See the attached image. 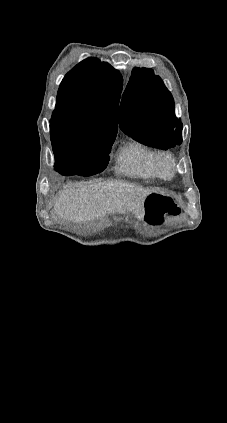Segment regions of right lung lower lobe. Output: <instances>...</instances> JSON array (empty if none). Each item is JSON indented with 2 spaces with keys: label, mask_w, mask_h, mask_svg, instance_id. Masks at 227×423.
Wrapping results in <instances>:
<instances>
[{
  "label": "right lung lower lobe",
  "mask_w": 227,
  "mask_h": 423,
  "mask_svg": "<svg viewBox=\"0 0 227 423\" xmlns=\"http://www.w3.org/2000/svg\"><path fill=\"white\" fill-rule=\"evenodd\" d=\"M55 170H57L59 173H61L62 175H71L73 169L68 166V165H60V164H55Z\"/></svg>",
  "instance_id": "obj_1"
}]
</instances>
